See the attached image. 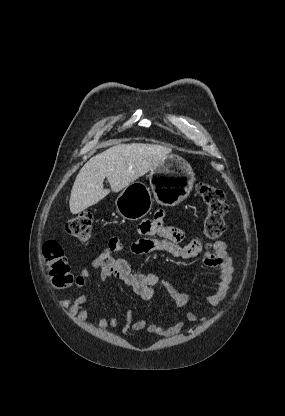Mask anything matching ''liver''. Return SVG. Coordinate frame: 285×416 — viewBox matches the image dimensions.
<instances>
[{
  "instance_id": "liver-1",
  "label": "liver",
  "mask_w": 285,
  "mask_h": 416,
  "mask_svg": "<svg viewBox=\"0 0 285 416\" xmlns=\"http://www.w3.org/2000/svg\"><path fill=\"white\" fill-rule=\"evenodd\" d=\"M109 150L93 156L81 168L71 190L69 208L71 214H80L98 204L110 192H120L153 170L160 160L171 154V148L154 144H113L103 142L98 148ZM107 178L111 190H104Z\"/></svg>"
}]
</instances>
